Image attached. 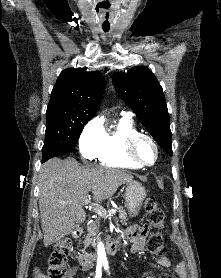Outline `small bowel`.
Segmentation results:
<instances>
[{"instance_id": "small-bowel-1", "label": "small bowel", "mask_w": 221, "mask_h": 278, "mask_svg": "<svg viewBox=\"0 0 221 278\" xmlns=\"http://www.w3.org/2000/svg\"><path fill=\"white\" fill-rule=\"evenodd\" d=\"M128 237L132 240V252L135 254H141L145 250V237L147 234V229L143 226H131L126 230ZM158 266L161 269H167L171 261L168 257L162 256L157 261ZM80 269L76 267H71L68 269L67 277L66 278H75L77 272ZM144 278H156L153 275H147ZM172 278H186V270L184 263L180 262L176 266V272Z\"/></svg>"}]
</instances>
